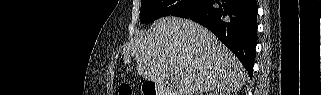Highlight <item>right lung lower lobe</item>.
<instances>
[{
	"instance_id": "right-lung-lower-lobe-1",
	"label": "right lung lower lobe",
	"mask_w": 321,
	"mask_h": 95,
	"mask_svg": "<svg viewBox=\"0 0 321 95\" xmlns=\"http://www.w3.org/2000/svg\"><path fill=\"white\" fill-rule=\"evenodd\" d=\"M257 11L256 0H206L186 18L211 30L238 57L252 78Z\"/></svg>"
}]
</instances>
